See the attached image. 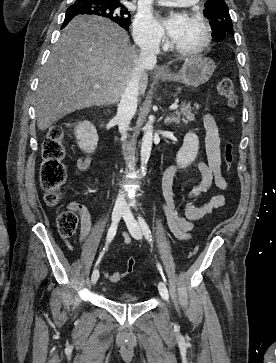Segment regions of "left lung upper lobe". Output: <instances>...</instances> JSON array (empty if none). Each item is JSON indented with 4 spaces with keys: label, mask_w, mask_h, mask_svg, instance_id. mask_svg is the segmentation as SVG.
<instances>
[{
    "label": "left lung upper lobe",
    "mask_w": 276,
    "mask_h": 363,
    "mask_svg": "<svg viewBox=\"0 0 276 363\" xmlns=\"http://www.w3.org/2000/svg\"><path fill=\"white\" fill-rule=\"evenodd\" d=\"M204 14L210 19L212 35L217 40L234 35L229 8L224 0H207Z\"/></svg>",
    "instance_id": "1"
}]
</instances>
